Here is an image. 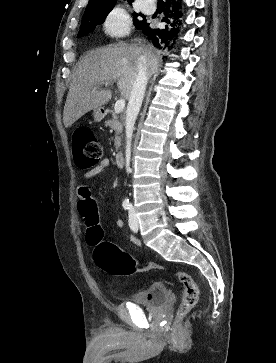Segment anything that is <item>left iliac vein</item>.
Instances as JSON below:
<instances>
[{
	"mask_svg": "<svg viewBox=\"0 0 276 363\" xmlns=\"http://www.w3.org/2000/svg\"><path fill=\"white\" fill-rule=\"evenodd\" d=\"M129 226H130V229L134 232H136L139 227L138 219H137L135 209L133 206H131L130 211H129Z\"/></svg>",
	"mask_w": 276,
	"mask_h": 363,
	"instance_id": "obj_1",
	"label": "left iliac vein"
}]
</instances>
